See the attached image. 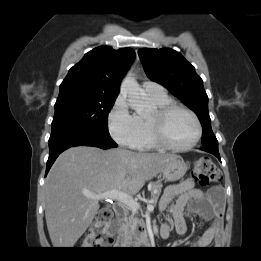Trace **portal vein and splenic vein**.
<instances>
[{"mask_svg": "<svg viewBox=\"0 0 261 261\" xmlns=\"http://www.w3.org/2000/svg\"><path fill=\"white\" fill-rule=\"evenodd\" d=\"M86 196L95 200H117L128 206L133 211H137L140 208V204L134 200L132 196L117 189L100 194H87ZM147 210L152 212L154 210V206L149 204L147 206Z\"/></svg>", "mask_w": 261, "mask_h": 261, "instance_id": "portal-vein-and-splenic-vein-1", "label": "portal vein and splenic vein"}]
</instances>
